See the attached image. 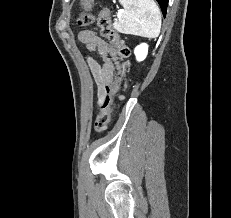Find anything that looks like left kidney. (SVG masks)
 I'll return each instance as SVG.
<instances>
[{
  "mask_svg": "<svg viewBox=\"0 0 231 218\" xmlns=\"http://www.w3.org/2000/svg\"><path fill=\"white\" fill-rule=\"evenodd\" d=\"M134 54L137 61H143L148 54V45L145 43L138 45L134 50Z\"/></svg>",
  "mask_w": 231,
  "mask_h": 218,
  "instance_id": "obj_1",
  "label": "left kidney"
}]
</instances>
